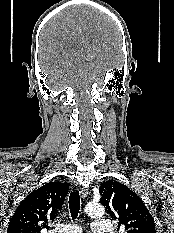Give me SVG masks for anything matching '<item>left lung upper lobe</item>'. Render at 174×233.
<instances>
[{"mask_svg":"<svg viewBox=\"0 0 174 233\" xmlns=\"http://www.w3.org/2000/svg\"><path fill=\"white\" fill-rule=\"evenodd\" d=\"M100 202L126 233H156L154 219L143 201L127 186L116 181L103 182ZM119 230V227L118 229Z\"/></svg>","mask_w":174,"mask_h":233,"instance_id":"5c2ea615","label":"left lung upper lobe"}]
</instances>
